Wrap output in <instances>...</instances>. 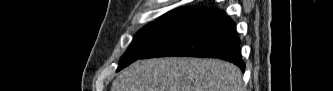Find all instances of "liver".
Segmentation results:
<instances>
[{"mask_svg":"<svg viewBox=\"0 0 333 91\" xmlns=\"http://www.w3.org/2000/svg\"><path fill=\"white\" fill-rule=\"evenodd\" d=\"M111 91H243L240 69L217 59L138 60L114 80Z\"/></svg>","mask_w":333,"mask_h":91,"instance_id":"6515ba94","label":"liver"}]
</instances>
